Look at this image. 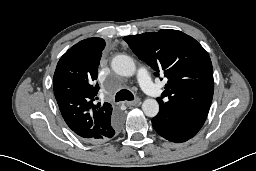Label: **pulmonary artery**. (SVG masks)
Here are the masks:
<instances>
[{"mask_svg": "<svg viewBox=\"0 0 256 171\" xmlns=\"http://www.w3.org/2000/svg\"><path fill=\"white\" fill-rule=\"evenodd\" d=\"M138 82L145 93L153 98L159 97L160 90L153 83L148 71L144 67L138 70Z\"/></svg>", "mask_w": 256, "mask_h": 171, "instance_id": "obj_1", "label": "pulmonary artery"}]
</instances>
